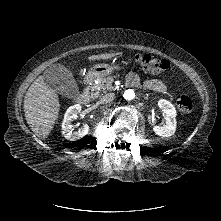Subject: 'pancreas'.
I'll list each match as a JSON object with an SVG mask.
<instances>
[{"instance_id":"1","label":"pancreas","mask_w":221,"mask_h":221,"mask_svg":"<svg viewBox=\"0 0 221 221\" xmlns=\"http://www.w3.org/2000/svg\"><path fill=\"white\" fill-rule=\"evenodd\" d=\"M98 81L99 83L97 85L91 87V91H95L92 93V96L95 98L100 95L101 91L111 90L114 79L112 77L98 78Z\"/></svg>"}]
</instances>
